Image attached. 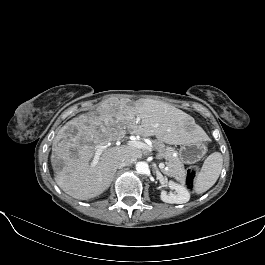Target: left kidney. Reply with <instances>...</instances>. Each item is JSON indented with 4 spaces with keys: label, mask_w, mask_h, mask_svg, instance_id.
I'll use <instances>...</instances> for the list:
<instances>
[{
    "label": "left kidney",
    "mask_w": 265,
    "mask_h": 265,
    "mask_svg": "<svg viewBox=\"0 0 265 265\" xmlns=\"http://www.w3.org/2000/svg\"><path fill=\"white\" fill-rule=\"evenodd\" d=\"M169 187L172 190H175V193L170 192L167 194L166 191H161L160 198L163 202L170 204H183L189 201L190 193L186 187L174 181L169 182Z\"/></svg>",
    "instance_id": "5707ae66"
}]
</instances>
